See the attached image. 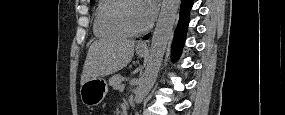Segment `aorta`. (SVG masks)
Listing matches in <instances>:
<instances>
[{"mask_svg": "<svg viewBox=\"0 0 285 115\" xmlns=\"http://www.w3.org/2000/svg\"><path fill=\"white\" fill-rule=\"evenodd\" d=\"M179 5L180 0H163L162 2L156 28L152 36L149 60L135 91L134 100L136 103L143 101L155 83L166 46L173 31Z\"/></svg>", "mask_w": 285, "mask_h": 115, "instance_id": "1", "label": "aorta"}]
</instances>
